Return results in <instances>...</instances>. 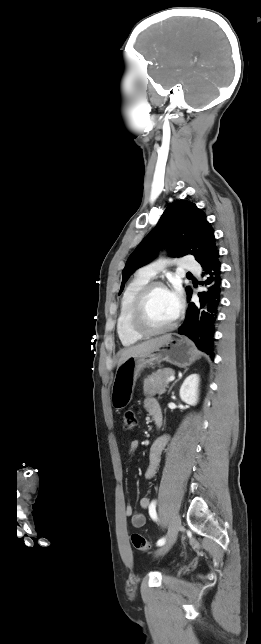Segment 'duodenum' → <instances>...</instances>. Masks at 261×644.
Masks as SVG:
<instances>
[{
    "instance_id": "duodenum-1",
    "label": "duodenum",
    "mask_w": 261,
    "mask_h": 644,
    "mask_svg": "<svg viewBox=\"0 0 261 644\" xmlns=\"http://www.w3.org/2000/svg\"><path fill=\"white\" fill-rule=\"evenodd\" d=\"M155 421H156V424H157V425H160V424H161V419H160V418H156V419H155Z\"/></svg>"
}]
</instances>
